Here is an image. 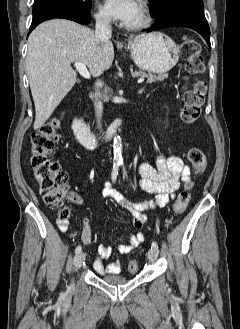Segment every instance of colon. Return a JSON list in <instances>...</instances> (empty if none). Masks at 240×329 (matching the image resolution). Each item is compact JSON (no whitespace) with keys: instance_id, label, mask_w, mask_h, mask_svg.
Instances as JSON below:
<instances>
[{"instance_id":"obj_1","label":"colon","mask_w":240,"mask_h":329,"mask_svg":"<svg viewBox=\"0 0 240 329\" xmlns=\"http://www.w3.org/2000/svg\"><path fill=\"white\" fill-rule=\"evenodd\" d=\"M181 55L186 63L188 73L197 76L203 71L200 44L192 39L186 38L180 47ZM206 94V85L199 78H195L183 89L184 104L182 107V120L187 124L196 122L201 114ZM60 117H51L39 131L31 138L30 164L33 176L40 186V192L46 206L60 212V217L66 220L71 212L66 206L69 179L61 165L52 159V152L59 140L58 129ZM188 159L196 173L201 172L207 164L204 151L200 148H192L188 153ZM192 182H188L184 189L178 194L174 204L175 214L183 213L191 199ZM138 263L134 260L128 264V271L134 274L138 271Z\"/></svg>"}]
</instances>
